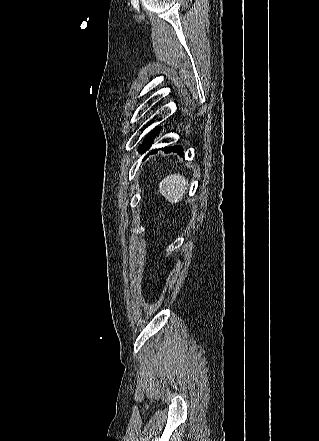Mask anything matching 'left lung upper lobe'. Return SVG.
I'll return each instance as SVG.
<instances>
[{"mask_svg": "<svg viewBox=\"0 0 319 441\" xmlns=\"http://www.w3.org/2000/svg\"><path fill=\"white\" fill-rule=\"evenodd\" d=\"M159 130H160V127L155 128L154 130H152L151 133H149V134L146 136V138H145L143 144L139 146V151H140L141 153H143L145 150H147V148H148L149 145L151 144V142H152L154 136L158 133Z\"/></svg>", "mask_w": 319, "mask_h": 441, "instance_id": "obj_1", "label": "left lung upper lobe"}]
</instances>
